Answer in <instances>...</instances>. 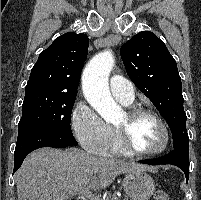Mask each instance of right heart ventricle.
<instances>
[{"mask_svg": "<svg viewBox=\"0 0 201 200\" xmlns=\"http://www.w3.org/2000/svg\"><path fill=\"white\" fill-rule=\"evenodd\" d=\"M120 102L126 106L131 105V103H126L124 101H120ZM110 128H111V140H110V145L107 152H110L116 155H128V153L124 151V149L122 148L120 144L119 135L116 128L114 127H110Z\"/></svg>", "mask_w": 201, "mask_h": 200, "instance_id": "1", "label": "right heart ventricle"}]
</instances>
